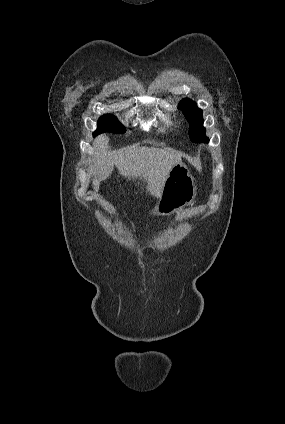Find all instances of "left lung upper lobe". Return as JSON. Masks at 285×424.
<instances>
[{
  "label": "left lung upper lobe",
  "mask_w": 285,
  "mask_h": 424,
  "mask_svg": "<svg viewBox=\"0 0 285 424\" xmlns=\"http://www.w3.org/2000/svg\"><path fill=\"white\" fill-rule=\"evenodd\" d=\"M178 108L183 110L186 119L189 122V137L194 143L206 142L208 138L205 135L203 127L202 110L197 107V104L189 98L182 99Z\"/></svg>",
  "instance_id": "obj_1"
}]
</instances>
